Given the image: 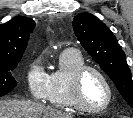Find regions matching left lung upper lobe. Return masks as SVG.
<instances>
[{"instance_id":"left-lung-upper-lobe-1","label":"left lung upper lobe","mask_w":133,"mask_h":118,"mask_svg":"<svg viewBox=\"0 0 133 118\" xmlns=\"http://www.w3.org/2000/svg\"><path fill=\"white\" fill-rule=\"evenodd\" d=\"M73 30L81 45L113 80L122 97L133 108L131 71L114 34L90 13L76 15Z\"/></svg>"}]
</instances>
